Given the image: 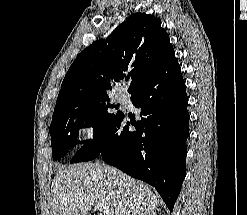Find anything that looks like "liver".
Wrapping results in <instances>:
<instances>
[{
    "label": "liver",
    "mask_w": 247,
    "mask_h": 215,
    "mask_svg": "<svg viewBox=\"0 0 247 215\" xmlns=\"http://www.w3.org/2000/svg\"><path fill=\"white\" fill-rule=\"evenodd\" d=\"M50 203L51 215H86L99 203L109 212L100 210L98 215H155L159 198L143 182L95 162L59 170L52 182Z\"/></svg>",
    "instance_id": "liver-1"
}]
</instances>
